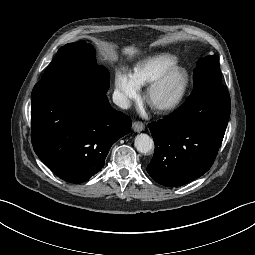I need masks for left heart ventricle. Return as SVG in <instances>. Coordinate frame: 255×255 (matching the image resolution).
I'll use <instances>...</instances> for the list:
<instances>
[{
    "mask_svg": "<svg viewBox=\"0 0 255 255\" xmlns=\"http://www.w3.org/2000/svg\"><path fill=\"white\" fill-rule=\"evenodd\" d=\"M182 77L179 74L172 75L164 85L159 88L150 98L153 105L160 104L172 97L179 89Z\"/></svg>",
    "mask_w": 255,
    "mask_h": 255,
    "instance_id": "b2bd125f",
    "label": "left heart ventricle"
}]
</instances>
